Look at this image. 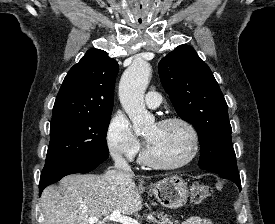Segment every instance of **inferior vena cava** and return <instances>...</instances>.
I'll return each instance as SVG.
<instances>
[{"label": "inferior vena cava", "instance_id": "inferior-vena-cava-1", "mask_svg": "<svg viewBox=\"0 0 275 224\" xmlns=\"http://www.w3.org/2000/svg\"><path fill=\"white\" fill-rule=\"evenodd\" d=\"M112 158L114 160V167L117 170L122 171L125 177L132 176L131 167L129 166L127 161L122 157L121 154L119 153L112 154Z\"/></svg>", "mask_w": 275, "mask_h": 224}]
</instances>
